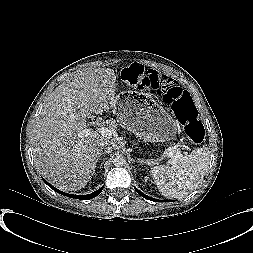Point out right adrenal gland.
<instances>
[{
  "label": "right adrenal gland",
  "instance_id": "1",
  "mask_svg": "<svg viewBox=\"0 0 253 253\" xmlns=\"http://www.w3.org/2000/svg\"><path fill=\"white\" fill-rule=\"evenodd\" d=\"M106 153H108V154H109L110 152H108V151H104V152H102V153H101V155H105ZM103 164H104V161L101 163L100 168H101V166H102Z\"/></svg>",
  "mask_w": 253,
  "mask_h": 253
}]
</instances>
